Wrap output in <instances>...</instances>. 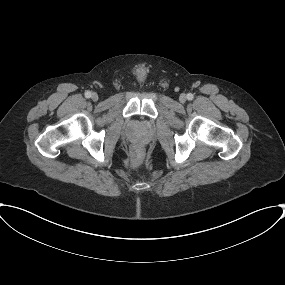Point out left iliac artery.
I'll use <instances>...</instances> for the list:
<instances>
[{
	"instance_id": "left-iliac-artery-1",
	"label": "left iliac artery",
	"mask_w": 285,
	"mask_h": 285,
	"mask_svg": "<svg viewBox=\"0 0 285 285\" xmlns=\"http://www.w3.org/2000/svg\"><path fill=\"white\" fill-rule=\"evenodd\" d=\"M193 98H194L193 94H191V93L187 94V99L188 100H192Z\"/></svg>"
}]
</instances>
